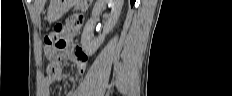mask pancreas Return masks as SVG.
<instances>
[{"label":"pancreas","instance_id":"1","mask_svg":"<svg viewBox=\"0 0 232 96\" xmlns=\"http://www.w3.org/2000/svg\"><path fill=\"white\" fill-rule=\"evenodd\" d=\"M87 8L88 5L85 2H80L74 7L75 10H81L82 12H85Z\"/></svg>","mask_w":232,"mask_h":96}]
</instances>
